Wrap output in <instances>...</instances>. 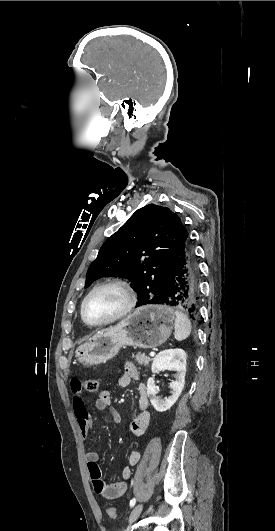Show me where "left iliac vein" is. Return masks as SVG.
<instances>
[{
    "mask_svg": "<svg viewBox=\"0 0 275 531\" xmlns=\"http://www.w3.org/2000/svg\"><path fill=\"white\" fill-rule=\"evenodd\" d=\"M142 509H143V504H142V503L137 504V505L133 508V510H132L131 513H130L129 524L134 523V522L138 519L139 515H140L141 512H142Z\"/></svg>",
    "mask_w": 275,
    "mask_h": 531,
    "instance_id": "left-iliac-vein-1",
    "label": "left iliac vein"
}]
</instances>
